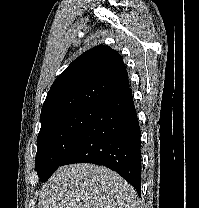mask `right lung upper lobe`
<instances>
[{"label":"right lung upper lobe","mask_w":199,"mask_h":208,"mask_svg":"<svg viewBox=\"0 0 199 208\" xmlns=\"http://www.w3.org/2000/svg\"><path fill=\"white\" fill-rule=\"evenodd\" d=\"M129 89L120 54L109 46L83 53L51 86L41 111V122L72 108L99 106Z\"/></svg>","instance_id":"1"}]
</instances>
